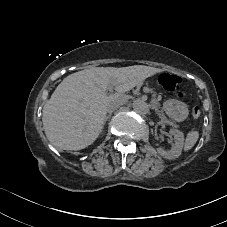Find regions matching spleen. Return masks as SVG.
<instances>
[{"mask_svg":"<svg viewBox=\"0 0 227 227\" xmlns=\"http://www.w3.org/2000/svg\"><path fill=\"white\" fill-rule=\"evenodd\" d=\"M199 139V132L194 130V131H189L185 137V141L183 144V152H188L193 148V146L196 144V142Z\"/></svg>","mask_w":227,"mask_h":227,"instance_id":"1","label":"spleen"}]
</instances>
